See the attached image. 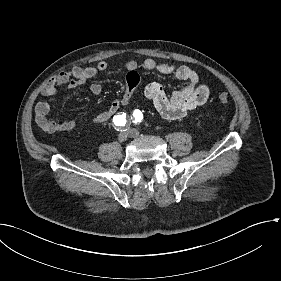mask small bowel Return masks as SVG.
Instances as JSON below:
<instances>
[{
    "label": "small bowel",
    "instance_id": "1",
    "mask_svg": "<svg viewBox=\"0 0 281 281\" xmlns=\"http://www.w3.org/2000/svg\"><path fill=\"white\" fill-rule=\"evenodd\" d=\"M142 66L147 71H159L164 74H173L175 79L185 84L170 96L166 94L162 86L156 83L148 84L144 88V96L150 100L157 112L165 119L177 120L185 117L190 111L203 105L209 97V87L200 82L198 74L185 66H175L171 63H159L154 59L144 60ZM127 70L126 86L121 98L114 99L107 109L96 115L92 122L106 123L110 121L121 107L129 104L133 98L139 83L140 77L137 72L138 63L129 60L125 63ZM108 69V63L98 62L95 66L74 67L69 72L61 73L50 78L44 85L42 94L45 97H52L66 87L70 90L77 89L86 84L100 72ZM90 91L99 95L102 86L99 83H92ZM50 112V104L46 99H39L35 105V121L37 126L45 133L72 131L77 128L78 123L74 120L56 119L47 117Z\"/></svg>",
    "mask_w": 281,
    "mask_h": 281
}]
</instances>
